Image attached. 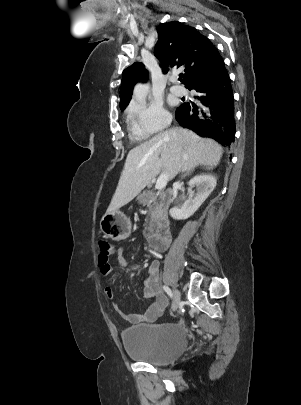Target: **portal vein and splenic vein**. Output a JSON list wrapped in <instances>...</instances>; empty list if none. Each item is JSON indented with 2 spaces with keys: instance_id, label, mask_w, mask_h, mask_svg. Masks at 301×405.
<instances>
[{
  "instance_id": "obj_1",
  "label": "portal vein and splenic vein",
  "mask_w": 301,
  "mask_h": 405,
  "mask_svg": "<svg viewBox=\"0 0 301 405\" xmlns=\"http://www.w3.org/2000/svg\"><path fill=\"white\" fill-rule=\"evenodd\" d=\"M167 182H168V175L166 173L161 174L157 179L155 189L157 190L163 189L167 185Z\"/></svg>"
}]
</instances>
